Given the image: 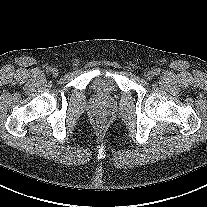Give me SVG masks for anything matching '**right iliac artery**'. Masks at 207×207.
Here are the masks:
<instances>
[{
  "mask_svg": "<svg viewBox=\"0 0 207 207\" xmlns=\"http://www.w3.org/2000/svg\"><path fill=\"white\" fill-rule=\"evenodd\" d=\"M51 70H52L51 67H47V68H46V71H47V72H50Z\"/></svg>",
  "mask_w": 207,
  "mask_h": 207,
  "instance_id": "82829eb1",
  "label": "right iliac artery"
}]
</instances>
